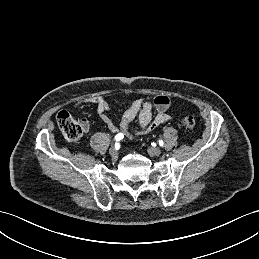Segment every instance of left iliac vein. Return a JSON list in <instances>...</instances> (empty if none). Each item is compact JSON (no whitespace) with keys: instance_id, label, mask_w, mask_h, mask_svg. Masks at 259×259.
Masks as SVG:
<instances>
[{"instance_id":"1","label":"left iliac vein","mask_w":259,"mask_h":259,"mask_svg":"<svg viewBox=\"0 0 259 259\" xmlns=\"http://www.w3.org/2000/svg\"><path fill=\"white\" fill-rule=\"evenodd\" d=\"M150 156H159L161 154V149L157 147H150L147 149Z\"/></svg>"}]
</instances>
